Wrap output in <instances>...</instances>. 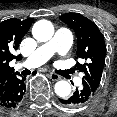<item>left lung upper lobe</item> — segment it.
<instances>
[{"label": "left lung upper lobe", "mask_w": 117, "mask_h": 117, "mask_svg": "<svg viewBox=\"0 0 117 117\" xmlns=\"http://www.w3.org/2000/svg\"><path fill=\"white\" fill-rule=\"evenodd\" d=\"M68 24L77 36V58L85 62L76 64L79 71L83 72V85L97 92L105 64L106 45L104 36L97 25L79 13H66L59 17Z\"/></svg>", "instance_id": "1"}]
</instances>
